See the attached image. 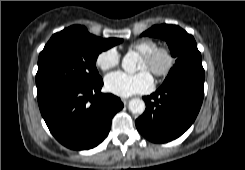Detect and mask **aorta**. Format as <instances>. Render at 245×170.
Instances as JSON below:
<instances>
[{
	"label": "aorta",
	"mask_w": 245,
	"mask_h": 170,
	"mask_svg": "<svg viewBox=\"0 0 245 170\" xmlns=\"http://www.w3.org/2000/svg\"><path fill=\"white\" fill-rule=\"evenodd\" d=\"M138 55L135 52H128L122 59V68L133 74L136 72ZM129 110L134 114H142L145 111V103L142 99L134 98L129 102Z\"/></svg>",
	"instance_id": "1"
}]
</instances>
